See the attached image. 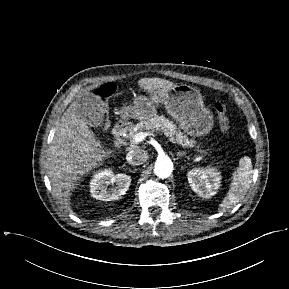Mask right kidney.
<instances>
[{"label":"right kidney","mask_w":289,"mask_h":289,"mask_svg":"<svg viewBox=\"0 0 289 289\" xmlns=\"http://www.w3.org/2000/svg\"><path fill=\"white\" fill-rule=\"evenodd\" d=\"M130 183V176L123 173L115 175L111 169H105L96 173L91 179L90 192L97 200H118L122 195L126 194ZM110 184H115L116 186L108 189Z\"/></svg>","instance_id":"1"}]
</instances>
